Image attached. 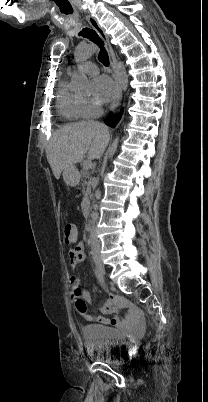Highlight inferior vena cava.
Returning a JSON list of instances; mask_svg holds the SVG:
<instances>
[{"label": "inferior vena cava", "mask_w": 208, "mask_h": 402, "mask_svg": "<svg viewBox=\"0 0 208 402\" xmlns=\"http://www.w3.org/2000/svg\"><path fill=\"white\" fill-rule=\"evenodd\" d=\"M95 186H97V184H95ZM90 242L92 246H99V240L97 238L96 228L94 226V220H92V226L90 228Z\"/></svg>", "instance_id": "1"}]
</instances>
